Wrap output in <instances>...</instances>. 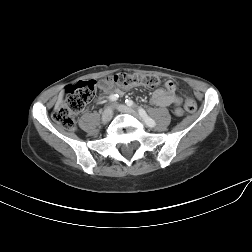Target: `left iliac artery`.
I'll return each mask as SVG.
<instances>
[{
	"mask_svg": "<svg viewBox=\"0 0 252 252\" xmlns=\"http://www.w3.org/2000/svg\"><path fill=\"white\" fill-rule=\"evenodd\" d=\"M125 103L130 107H136L135 103L130 99H126ZM137 110L139 115L149 127H154L156 125L155 121L147 115L146 111L143 108L138 107Z\"/></svg>",
	"mask_w": 252,
	"mask_h": 252,
	"instance_id": "44dca946",
	"label": "left iliac artery"
}]
</instances>
